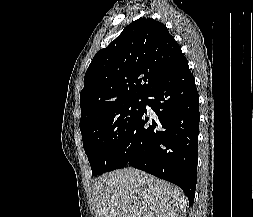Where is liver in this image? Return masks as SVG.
<instances>
[{"mask_svg":"<svg viewBox=\"0 0 253 217\" xmlns=\"http://www.w3.org/2000/svg\"><path fill=\"white\" fill-rule=\"evenodd\" d=\"M92 205L95 217H184L187 197L177 186L128 167L94 180Z\"/></svg>","mask_w":253,"mask_h":217,"instance_id":"obj_1","label":"liver"}]
</instances>
